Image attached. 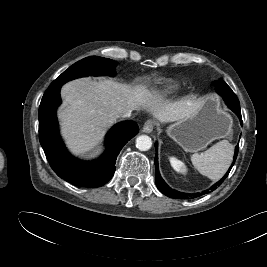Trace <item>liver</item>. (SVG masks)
<instances>
[{
	"instance_id": "1",
	"label": "liver",
	"mask_w": 267,
	"mask_h": 267,
	"mask_svg": "<svg viewBox=\"0 0 267 267\" xmlns=\"http://www.w3.org/2000/svg\"><path fill=\"white\" fill-rule=\"evenodd\" d=\"M63 105L58 110L61 132L75 154L92 150L105 131L128 110L146 109L162 123L174 122L194 113L200 100H165L146 86H131L110 79L80 78L61 89Z\"/></svg>"
}]
</instances>
